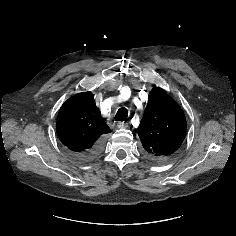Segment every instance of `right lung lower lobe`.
<instances>
[{"label":"right lung lower lobe","instance_id":"98d812e1","mask_svg":"<svg viewBox=\"0 0 236 236\" xmlns=\"http://www.w3.org/2000/svg\"><path fill=\"white\" fill-rule=\"evenodd\" d=\"M103 145V139H100L93 145L92 148L84 152L74 153V156L81 161H90L100 154L103 149Z\"/></svg>","mask_w":236,"mask_h":236}]
</instances>
